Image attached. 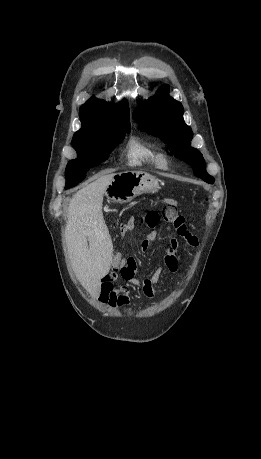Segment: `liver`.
<instances>
[{
	"label": "liver",
	"mask_w": 261,
	"mask_h": 459,
	"mask_svg": "<svg viewBox=\"0 0 261 459\" xmlns=\"http://www.w3.org/2000/svg\"><path fill=\"white\" fill-rule=\"evenodd\" d=\"M114 175L98 174L74 194L68 207L66 243L72 267L83 287L95 297L100 294L101 279L109 272L113 259V244L102 206Z\"/></svg>",
	"instance_id": "6515ba94"
}]
</instances>
